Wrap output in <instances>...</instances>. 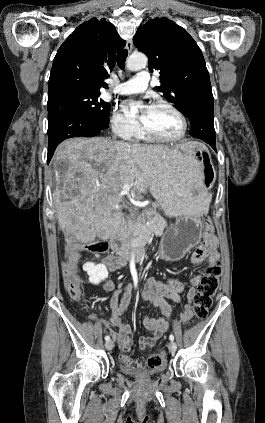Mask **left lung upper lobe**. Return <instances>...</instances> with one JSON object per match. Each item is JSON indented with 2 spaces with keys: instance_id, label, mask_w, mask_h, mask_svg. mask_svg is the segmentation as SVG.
<instances>
[{
  "instance_id": "left-lung-upper-lobe-1",
  "label": "left lung upper lobe",
  "mask_w": 265,
  "mask_h": 423,
  "mask_svg": "<svg viewBox=\"0 0 265 423\" xmlns=\"http://www.w3.org/2000/svg\"><path fill=\"white\" fill-rule=\"evenodd\" d=\"M134 44L149 58L148 68L160 71L158 90L185 114L191 97L211 88L200 48L194 39L168 18L150 19L137 29Z\"/></svg>"
}]
</instances>
